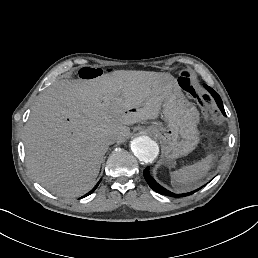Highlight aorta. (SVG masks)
<instances>
[{
    "mask_svg": "<svg viewBox=\"0 0 258 258\" xmlns=\"http://www.w3.org/2000/svg\"><path fill=\"white\" fill-rule=\"evenodd\" d=\"M131 150L140 161L145 163L152 162L159 154L158 144L145 135L132 140Z\"/></svg>",
    "mask_w": 258,
    "mask_h": 258,
    "instance_id": "1",
    "label": "aorta"
}]
</instances>
